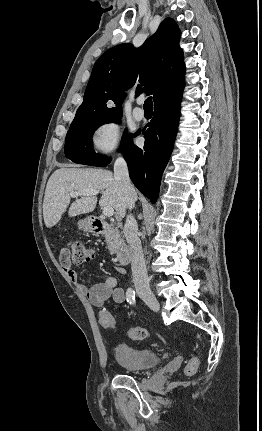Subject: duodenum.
Segmentation results:
<instances>
[{
	"label": "duodenum",
	"instance_id": "obj_1",
	"mask_svg": "<svg viewBox=\"0 0 262 431\" xmlns=\"http://www.w3.org/2000/svg\"><path fill=\"white\" fill-rule=\"evenodd\" d=\"M90 223L96 233L102 234L111 230L110 224L100 218L93 217ZM117 258L121 264H128L131 260L130 248L127 245L121 246L117 251Z\"/></svg>",
	"mask_w": 262,
	"mask_h": 431
}]
</instances>
